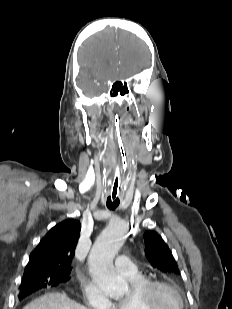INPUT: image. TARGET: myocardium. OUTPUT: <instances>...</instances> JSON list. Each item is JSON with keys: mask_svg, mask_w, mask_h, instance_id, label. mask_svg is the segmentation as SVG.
<instances>
[{"mask_svg": "<svg viewBox=\"0 0 232 309\" xmlns=\"http://www.w3.org/2000/svg\"><path fill=\"white\" fill-rule=\"evenodd\" d=\"M161 289L173 291L180 300L179 308H185L184 296L177 286L164 280L149 279L137 293V299L144 309H162L158 301V294Z\"/></svg>", "mask_w": 232, "mask_h": 309, "instance_id": "obj_1", "label": "myocardium"}]
</instances>
